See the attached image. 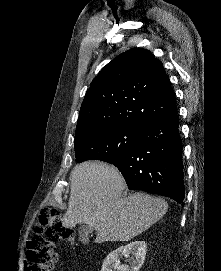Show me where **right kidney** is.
<instances>
[{"mask_svg": "<svg viewBox=\"0 0 221 271\" xmlns=\"http://www.w3.org/2000/svg\"><path fill=\"white\" fill-rule=\"evenodd\" d=\"M146 251L145 241H130L127 245H120L106 255L101 271H139L144 263ZM121 257H129L130 265L121 263Z\"/></svg>", "mask_w": 221, "mask_h": 271, "instance_id": "1", "label": "right kidney"}]
</instances>
